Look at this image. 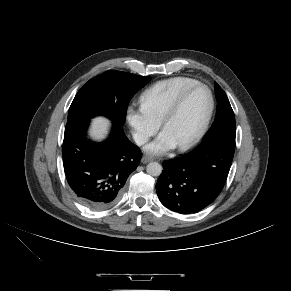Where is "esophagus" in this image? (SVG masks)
I'll use <instances>...</instances> for the list:
<instances>
[{
    "mask_svg": "<svg viewBox=\"0 0 291 291\" xmlns=\"http://www.w3.org/2000/svg\"><path fill=\"white\" fill-rule=\"evenodd\" d=\"M151 161H153V158H152V157H149V156H143V157L141 158V162H142L143 164H146V163L151 162Z\"/></svg>",
    "mask_w": 291,
    "mask_h": 291,
    "instance_id": "34e87169",
    "label": "esophagus"
}]
</instances>
